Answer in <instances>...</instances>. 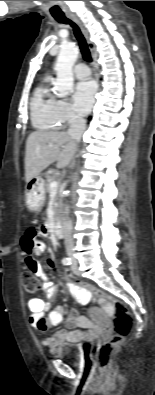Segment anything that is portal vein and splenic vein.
<instances>
[{
    "mask_svg": "<svg viewBox=\"0 0 155 395\" xmlns=\"http://www.w3.org/2000/svg\"><path fill=\"white\" fill-rule=\"evenodd\" d=\"M50 188H51L52 191H56L57 188H58V182L57 181H52L50 183Z\"/></svg>",
    "mask_w": 155,
    "mask_h": 395,
    "instance_id": "18ae733b",
    "label": "portal vein and splenic vein"
}]
</instances>
